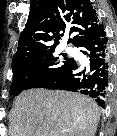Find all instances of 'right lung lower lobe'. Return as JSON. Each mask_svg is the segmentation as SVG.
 I'll return each instance as SVG.
<instances>
[{
  "label": "right lung lower lobe",
  "instance_id": "1",
  "mask_svg": "<svg viewBox=\"0 0 117 136\" xmlns=\"http://www.w3.org/2000/svg\"><path fill=\"white\" fill-rule=\"evenodd\" d=\"M87 56L81 64L71 59L57 74L47 79L39 88L80 92L94 98L104 108L106 88L109 81L108 38L104 26H100L83 38L76 46Z\"/></svg>",
  "mask_w": 117,
  "mask_h": 136
}]
</instances>
